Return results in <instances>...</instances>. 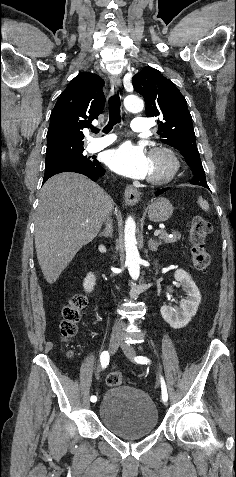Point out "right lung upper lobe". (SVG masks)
<instances>
[{"mask_svg":"<svg viewBox=\"0 0 236 477\" xmlns=\"http://www.w3.org/2000/svg\"><path fill=\"white\" fill-rule=\"evenodd\" d=\"M99 76L81 72L60 95L50 116L45 163L55 162L84 150L82 129L91 126L105 106Z\"/></svg>","mask_w":236,"mask_h":477,"instance_id":"cb5924a9","label":"right lung upper lobe"}]
</instances>
